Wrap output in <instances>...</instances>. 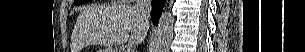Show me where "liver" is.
<instances>
[{"label": "liver", "mask_w": 305, "mask_h": 52, "mask_svg": "<svg viewBox=\"0 0 305 52\" xmlns=\"http://www.w3.org/2000/svg\"><path fill=\"white\" fill-rule=\"evenodd\" d=\"M78 25L86 40L109 47L140 44L149 29L134 6L121 4L92 6L79 15Z\"/></svg>", "instance_id": "obj_1"}]
</instances>
